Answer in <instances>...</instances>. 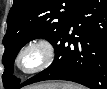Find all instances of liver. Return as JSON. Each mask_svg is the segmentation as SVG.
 Returning a JSON list of instances; mask_svg holds the SVG:
<instances>
[{"instance_id":"6515ba94","label":"liver","mask_w":107,"mask_h":89,"mask_svg":"<svg viewBox=\"0 0 107 89\" xmlns=\"http://www.w3.org/2000/svg\"><path fill=\"white\" fill-rule=\"evenodd\" d=\"M61 87H62V85L59 84V83H48V84H43V85L32 86L30 88H36V89H60Z\"/></svg>"}]
</instances>
